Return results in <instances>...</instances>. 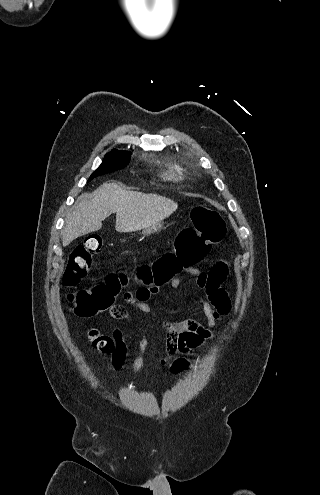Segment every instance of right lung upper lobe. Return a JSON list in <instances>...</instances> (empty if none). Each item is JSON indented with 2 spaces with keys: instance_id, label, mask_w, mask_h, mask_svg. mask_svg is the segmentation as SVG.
I'll return each instance as SVG.
<instances>
[{
  "instance_id": "right-lung-upper-lobe-1",
  "label": "right lung upper lobe",
  "mask_w": 320,
  "mask_h": 495,
  "mask_svg": "<svg viewBox=\"0 0 320 495\" xmlns=\"http://www.w3.org/2000/svg\"><path fill=\"white\" fill-rule=\"evenodd\" d=\"M112 151H118L117 149H113Z\"/></svg>"
}]
</instances>
